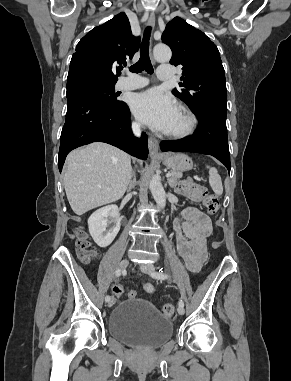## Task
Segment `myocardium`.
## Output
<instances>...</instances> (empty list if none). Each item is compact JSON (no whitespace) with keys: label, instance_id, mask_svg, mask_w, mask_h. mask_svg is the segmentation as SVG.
<instances>
[{"label":"myocardium","instance_id":"f54148a6","mask_svg":"<svg viewBox=\"0 0 291 381\" xmlns=\"http://www.w3.org/2000/svg\"><path fill=\"white\" fill-rule=\"evenodd\" d=\"M179 111L184 115L186 119V124L180 130L165 132V135L172 139L187 138L195 132L198 126V118L190 108L186 106H180Z\"/></svg>","mask_w":291,"mask_h":381}]
</instances>
